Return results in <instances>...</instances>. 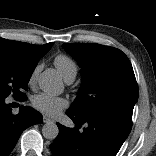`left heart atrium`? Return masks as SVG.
<instances>
[{"label":"left heart atrium","mask_w":156,"mask_h":156,"mask_svg":"<svg viewBox=\"0 0 156 156\" xmlns=\"http://www.w3.org/2000/svg\"><path fill=\"white\" fill-rule=\"evenodd\" d=\"M35 109L48 116H56L67 107L68 101L62 97H56L48 93H39L32 99Z\"/></svg>","instance_id":"obj_1"}]
</instances>
